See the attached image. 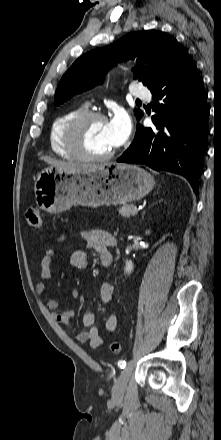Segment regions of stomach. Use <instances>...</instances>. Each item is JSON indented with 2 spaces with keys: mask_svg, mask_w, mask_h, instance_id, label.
Wrapping results in <instances>:
<instances>
[{
  "mask_svg": "<svg viewBox=\"0 0 221 440\" xmlns=\"http://www.w3.org/2000/svg\"><path fill=\"white\" fill-rule=\"evenodd\" d=\"M154 179L137 165L106 163L81 172L43 169L35 181L37 205L61 213L72 205L89 207L137 201L154 187Z\"/></svg>",
  "mask_w": 221,
  "mask_h": 440,
  "instance_id": "1",
  "label": "stomach"
}]
</instances>
